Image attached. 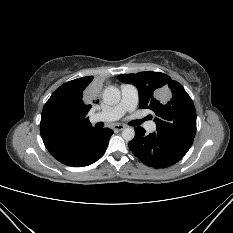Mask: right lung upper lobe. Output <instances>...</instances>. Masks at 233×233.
<instances>
[{
  "label": "right lung upper lobe",
  "mask_w": 233,
  "mask_h": 233,
  "mask_svg": "<svg viewBox=\"0 0 233 233\" xmlns=\"http://www.w3.org/2000/svg\"><path fill=\"white\" fill-rule=\"evenodd\" d=\"M92 80L93 76L78 78L61 85L56 90V92L62 93L64 96H66L68 99L75 103V105L78 108V118L73 127L63 131H59L55 134H60L64 137H72L78 132L94 128L91 126L88 118L86 117L88 111L91 109V105L87 104L86 101L89 98H86L85 96L91 90L90 85ZM50 134L51 133H47L41 130L42 137H45Z\"/></svg>",
  "instance_id": "right-lung-upper-lobe-1"
}]
</instances>
